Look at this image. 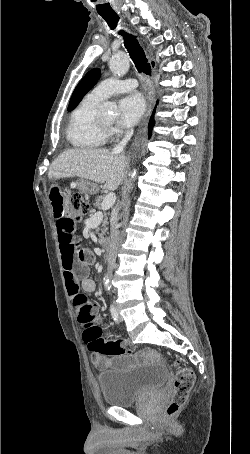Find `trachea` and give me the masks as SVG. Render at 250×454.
<instances>
[{"label": "trachea", "mask_w": 250, "mask_h": 454, "mask_svg": "<svg viewBox=\"0 0 250 454\" xmlns=\"http://www.w3.org/2000/svg\"><path fill=\"white\" fill-rule=\"evenodd\" d=\"M102 17L112 30H114L117 27V23L119 21V17L117 15L116 16L102 15ZM119 34L123 36L125 48L127 49L138 72L144 73L146 75H151V66L148 63L145 53L140 44L138 43L136 37L124 31H119Z\"/></svg>", "instance_id": "3493384b"}]
</instances>
